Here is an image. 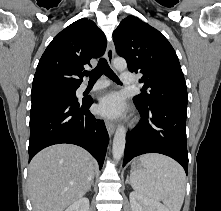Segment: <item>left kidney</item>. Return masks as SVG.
Returning <instances> with one entry per match:
<instances>
[{"instance_id":"obj_1","label":"left kidney","mask_w":221,"mask_h":211,"mask_svg":"<svg viewBox=\"0 0 221 211\" xmlns=\"http://www.w3.org/2000/svg\"><path fill=\"white\" fill-rule=\"evenodd\" d=\"M129 199L132 211H169L159 201L150 199L135 191L130 193Z\"/></svg>"}]
</instances>
